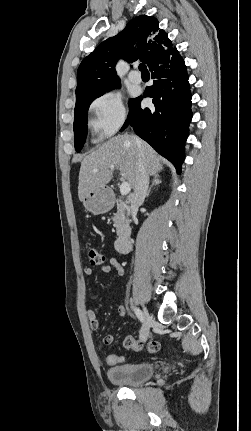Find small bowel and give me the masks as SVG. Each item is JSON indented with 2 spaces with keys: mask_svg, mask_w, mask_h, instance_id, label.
Instances as JSON below:
<instances>
[{
  "mask_svg": "<svg viewBox=\"0 0 251 431\" xmlns=\"http://www.w3.org/2000/svg\"><path fill=\"white\" fill-rule=\"evenodd\" d=\"M113 270L115 271V273L118 276H123L124 272H125L124 267L121 264V262L115 257H110L109 263L101 266V271L104 273H110ZM83 272L86 276H91L93 274V269L91 267H85ZM117 313H118L119 317H124L126 314L125 307L123 305H118L117 306ZM86 315H87V318L89 320L90 328L92 330H98L100 327V321L97 317L96 312L92 309H89V310H87ZM114 340H115L114 335L108 334L102 338V344L103 345H110L114 342ZM120 358H122V357L120 356Z\"/></svg>",
  "mask_w": 251,
  "mask_h": 431,
  "instance_id": "obj_1",
  "label": "small bowel"
}]
</instances>
